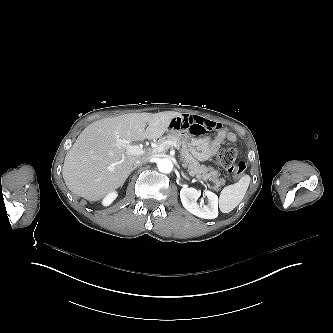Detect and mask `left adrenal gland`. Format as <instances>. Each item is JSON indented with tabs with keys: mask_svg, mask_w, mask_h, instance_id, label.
I'll use <instances>...</instances> for the list:
<instances>
[{
	"mask_svg": "<svg viewBox=\"0 0 333 333\" xmlns=\"http://www.w3.org/2000/svg\"><path fill=\"white\" fill-rule=\"evenodd\" d=\"M181 175H182V177H184L185 179H187V180L189 179V178L184 174L183 171L181 172Z\"/></svg>",
	"mask_w": 333,
	"mask_h": 333,
	"instance_id": "left-adrenal-gland-1",
	"label": "left adrenal gland"
}]
</instances>
